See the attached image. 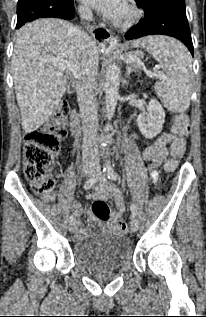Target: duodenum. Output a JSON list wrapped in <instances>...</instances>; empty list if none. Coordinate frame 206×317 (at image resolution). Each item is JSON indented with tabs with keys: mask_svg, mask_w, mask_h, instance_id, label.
Segmentation results:
<instances>
[{
	"mask_svg": "<svg viewBox=\"0 0 206 317\" xmlns=\"http://www.w3.org/2000/svg\"><path fill=\"white\" fill-rule=\"evenodd\" d=\"M71 130L75 138H79L82 134L81 120L77 114H72L71 117Z\"/></svg>",
	"mask_w": 206,
	"mask_h": 317,
	"instance_id": "obj_1",
	"label": "duodenum"
}]
</instances>
